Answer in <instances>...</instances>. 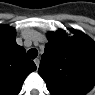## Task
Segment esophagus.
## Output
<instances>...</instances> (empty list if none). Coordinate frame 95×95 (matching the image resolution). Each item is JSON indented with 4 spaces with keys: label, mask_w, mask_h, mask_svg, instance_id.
I'll list each match as a JSON object with an SVG mask.
<instances>
[{
    "label": "esophagus",
    "mask_w": 95,
    "mask_h": 95,
    "mask_svg": "<svg viewBox=\"0 0 95 95\" xmlns=\"http://www.w3.org/2000/svg\"><path fill=\"white\" fill-rule=\"evenodd\" d=\"M34 62H35L36 66H37V69H38L39 63H40L39 59L36 58V59L34 60Z\"/></svg>",
    "instance_id": "34e87169"
}]
</instances>
